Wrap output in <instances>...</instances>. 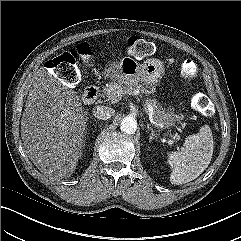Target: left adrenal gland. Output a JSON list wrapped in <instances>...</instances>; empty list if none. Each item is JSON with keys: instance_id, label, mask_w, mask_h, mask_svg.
<instances>
[{"instance_id": "a2214340", "label": "left adrenal gland", "mask_w": 241, "mask_h": 241, "mask_svg": "<svg viewBox=\"0 0 241 241\" xmlns=\"http://www.w3.org/2000/svg\"><path fill=\"white\" fill-rule=\"evenodd\" d=\"M147 128H148V130L151 131L150 137H149V142H151L152 139L157 138V134L155 133V131L153 130V128L149 124H147Z\"/></svg>"}]
</instances>
